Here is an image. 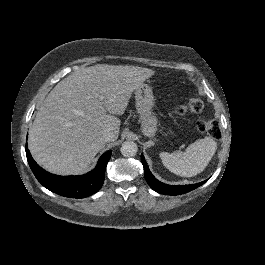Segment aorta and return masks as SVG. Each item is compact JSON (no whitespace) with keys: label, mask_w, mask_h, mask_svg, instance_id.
Here are the masks:
<instances>
[{"label":"aorta","mask_w":265,"mask_h":265,"mask_svg":"<svg viewBox=\"0 0 265 265\" xmlns=\"http://www.w3.org/2000/svg\"><path fill=\"white\" fill-rule=\"evenodd\" d=\"M121 154L125 157H133L138 151L137 144L131 141H126L121 146Z\"/></svg>","instance_id":"obj_1"}]
</instances>
